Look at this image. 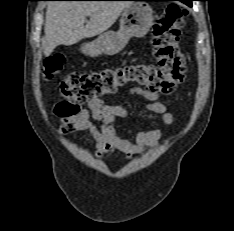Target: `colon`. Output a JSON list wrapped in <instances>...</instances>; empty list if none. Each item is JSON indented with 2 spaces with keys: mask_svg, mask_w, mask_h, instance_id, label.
<instances>
[{
  "mask_svg": "<svg viewBox=\"0 0 234 231\" xmlns=\"http://www.w3.org/2000/svg\"><path fill=\"white\" fill-rule=\"evenodd\" d=\"M186 10L180 5H169L152 28V47L157 64L136 63L90 72H73L60 84L63 96L60 111L71 115L79 106L92 100L112 95L128 85H134L157 94L171 93L182 83L186 61L180 45V32ZM65 57L58 54L45 61L47 75L62 68Z\"/></svg>",
  "mask_w": 234,
  "mask_h": 231,
  "instance_id": "obj_1",
  "label": "colon"
}]
</instances>
